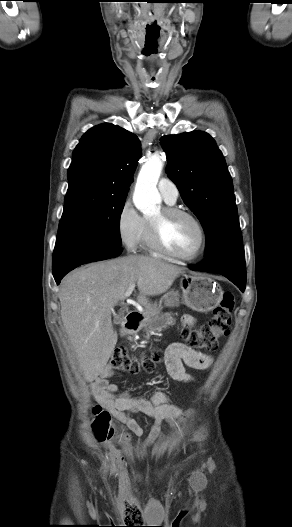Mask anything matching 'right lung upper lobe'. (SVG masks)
<instances>
[{
    "label": "right lung upper lobe",
    "mask_w": 292,
    "mask_h": 527,
    "mask_svg": "<svg viewBox=\"0 0 292 527\" xmlns=\"http://www.w3.org/2000/svg\"><path fill=\"white\" fill-rule=\"evenodd\" d=\"M139 157L140 141L135 134L110 123L95 126L73 152L69 186L127 194Z\"/></svg>",
    "instance_id": "obj_1"
}]
</instances>
